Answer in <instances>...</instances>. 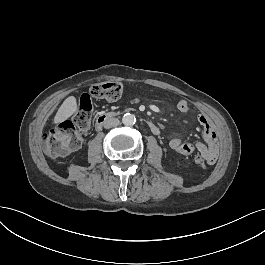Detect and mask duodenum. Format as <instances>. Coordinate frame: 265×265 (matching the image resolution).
<instances>
[{"label": "duodenum", "instance_id": "obj_1", "mask_svg": "<svg viewBox=\"0 0 265 265\" xmlns=\"http://www.w3.org/2000/svg\"><path fill=\"white\" fill-rule=\"evenodd\" d=\"M115 115L114 112L103 113L97 116L95 120V130L98 131L101 129L102 125L110 118H113ZM146 124L149 127L150 131L156 135L160 134L159 127L151 120H146Z\"/></svg>", "mask_w": 265, "mask_h": 265}]
</instances>
